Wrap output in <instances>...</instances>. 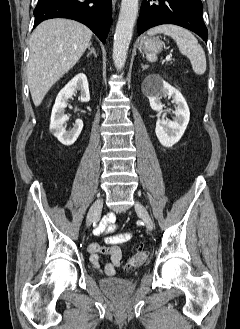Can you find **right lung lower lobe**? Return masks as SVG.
<instances>
[{"label": "right lung lower lobe", "mask_w": 240, "mask_h": 329, "mask_svg": "<svg viewBox=\"0 0 240 329\" xmlns=\"http://www.w3.org/2000/svg\"><path fill=\"white\" fill-rule=\"evenodd\" d=\"M111 14V0H38L34 27L46 19H73L88 26L105 43Z\"/></svg>", "instance_id": "98d812e1"}]
</instances>
